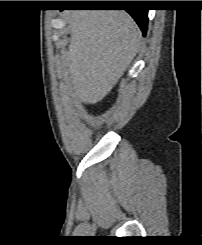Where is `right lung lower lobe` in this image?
<instances>
[{"mask_svg": "<svg viewBox=\"0 0 202 245\" xmlns=\"http://www.w3.org/2000/svg\"><path fill=\"white\" fill-rule=\"evenodd\" d=\"M96 6H105L104 4H97ZM139 25L140 29L146 34L148 24V10L142 8H131L126 10Z\"/></svg>", "mask_w": 202, "mask_h": 245, "instance_id": "98d812e1", "label": "right lung lower lobe"}]
</instances>
